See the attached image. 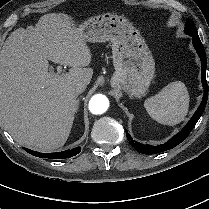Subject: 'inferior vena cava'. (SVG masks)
<instances>
[{"label": "inferior vena cava", "instance_id": "602c4592", "mask_svg": "<svg viewBox=\"0 0 209 209\" xmlns=\"http://www.w3.org/2000/svg\"><path fill=\"white\" fill-rule=\"evenodd\" d=\"M87 87V84L84 82L77 83L75 86V91L77 94H81Z\"/></svg>", "mask_w": 209, "mask_h": 209}]
</instances>
